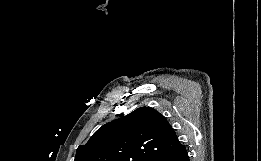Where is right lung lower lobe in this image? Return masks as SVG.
<instances>
[{
    "label": "right lung lower lobe",
    "instance_id": "obj_1",
    "mask_svg": "<svg viewBox=\"0 0 261 161\" xmlns=\"http://www.w3.org/2000/svg\"><path fill=\"white\" fill-rule=\"evenodd\" d=\"M152 161H189V156L186 148L182 146L180 149L165 155L158 156Z\"/></svg>",
    "mask_w": 261,
    "mask_h": 161
}]
</instances>
